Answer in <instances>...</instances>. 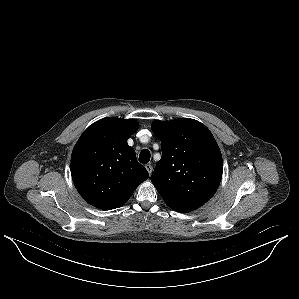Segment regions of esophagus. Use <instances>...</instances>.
Masks as SVG:
<instances>
[{
    "mask_svg": "<svg viewBox=\"0 0 299 299\" xmlns=\"http://www.w3.org/2000/svg\"><path fill=\"white\" fill-rule=\"evenodd\" d=\"M145 168L148 171L149 175H151L153 172V166L151 164H146Z\"/></svg>",
    "mask_w": 299,
    "mask_h": 299,
    "instance_id": "1",
    "label": "esophagus"
}]
</instances>
